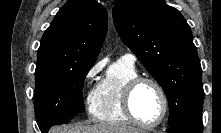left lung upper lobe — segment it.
Masks as SVG:
<instances>
[{
  "mask_svg": "<svg viewBox=\"0 0 221 133\" xmlns=\"http://www.w3.org/2000/svg\"><path fill=\"white\" fill-rule=\"evenodd\" d=\"M116 30L163 88L169 126L203 108L202 70L191 28L164 0H131L113 8Z\"/></svg>",
  "mask_w": 221,
  "mask_h": 133,
  "instance_id": "left-lung-upper-lobe-1",
  "label": "left lung upper lobe"
}]
</instances>
